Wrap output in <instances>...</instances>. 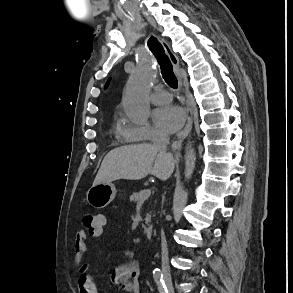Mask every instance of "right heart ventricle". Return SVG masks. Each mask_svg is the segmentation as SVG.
Returning a JSON list of instances; mask_svg holds the SVG:
<instances>
[{
    "label": "right heart ventricle",
    "instance_id": "e07e8e85",
    "mask_svg": "<svg viewBox=\"0 0 293 293\" xmlns=\"http://www.w3.org/2000/svg\"><path fill=\"white\" fill-rule=\"evenodd\" d=\"M119 132L122 133L124 135V132H125V127L123 126H119Z\"/></svg>",
    "mask_w": 293,
    "mask_h": 293
}]
</instances>
